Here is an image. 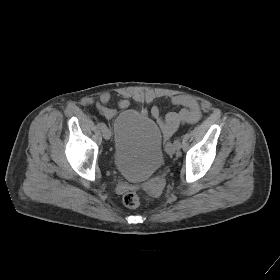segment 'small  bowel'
Here are the masks:
<instances>
[{"label": "small bowel", "mask_w": 280, "mask_h": 280, "mask_svg": "<svg viewBox=\"0 0 280 280\" xmlns=\"http://www.w3.org/2000/svg\"><path fill=\"white\" fill-rule=\"evenodd\" d=\"M111 94L104 92L100 95L97 103L99 112L106 118H112L116 111L110 108L109 102ZM172 103L181 109L178 112H170L164 117L161 116L158 107L151 109L152 116L157 120L165 138H170L178 129L180 123L194 124L197 123L202 116L201 108L197 100L186 95H177L172 98ZM130 106V102L126 99L119 101V107L126 109Z\"/></svg>", "instance_id": "c3829d8e"}]
</instances>
